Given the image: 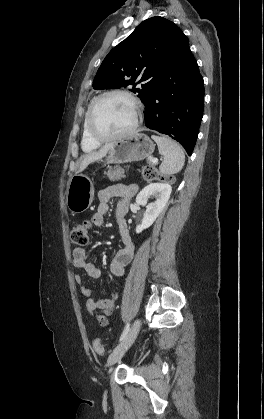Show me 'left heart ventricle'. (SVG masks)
Listing matches in <instances>:
<instances>
[{
	"label": "left heart ventricle",
	"mask_w": 264,
	"mask_h": 419,
	"mask_svg": "<svg viewBox=\"0 0 264 419\" xmlns=\"http://www.w3.org/2000/svg\"><path fill=\"white\" fill-rule=\"evenodd\" d=\"M134 119V104L124 96L113 95L100 102L94 114L93 124L98 133L109 136L128 130Z\"/></svg>",
	"instance_id": "obj_1"
}]
</instances>
